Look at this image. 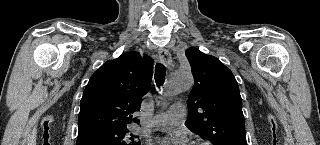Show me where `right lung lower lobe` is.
<instances>
[{
	"label": "right lung lower lobe",
	"instance_id": "1",
	"mask_svg": "<svg viewBox=\"0 0 320 145\" xmlns=\"http://www.w3.org/2000/svg\"><path fill=\"white\" fill-rule=\"evenodd\" d=\"M77 145H103V144L98 143V142H87V143H81V144H77Z\"/></svg>",
	"mask_w": 320,
	"mask_h": 145
}]
</instances>
